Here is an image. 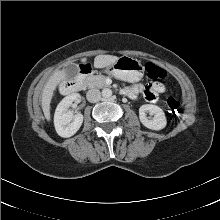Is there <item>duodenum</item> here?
<instances>
[{"label": "duodenum", "instance_id": "1", "mask_svg": "<svg viewBox=\"0 0 220 220\" xmlns=\"http://www.w3.org/2000/svg\"><path fill=\"white\" fill-rule=\"evenodd\" d=\"M92 73V67L89 64H82L79 68L77 76L61 87L64 94H71L81 89L84 79Z\"/></svg>", "mask_w": 220, "mask_h": 220}]
</instances>
